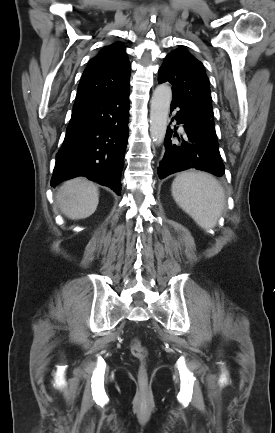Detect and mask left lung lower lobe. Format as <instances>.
<instances>
[{"label":"left lung lower lobe","mask_w":275,"mask_h":433,"mask_svg":"<svg viewBox=\"0 0 275 433\" xmlns=\"http://www.w3.org/2000/svg\"><path fill=\"white\" fill-rule=\"evenodd\" d=\"M175 108H179L176 119L177 124H183L184 133L178 135L175 130L167 128L165 153L158 167L159 178L190 168L223 176L225 166L216 135L198 124L183 100L173 95L171 111ZM174 137L177 138L176 141H173Z\"/></svg>","instance_id":"1"}]
</instances>
